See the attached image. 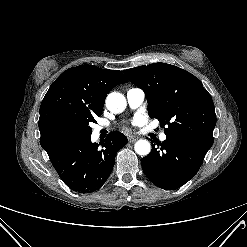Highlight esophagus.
Returning <instances> with one entry per match:
<instances>
[{
    "instance_id": "obj_1",
    "label": "esophagus",
    "mask_w": 247,
    "mask_h": 247,
    "mask_svg": "<svg viewBox=\"0 0 247 247\" xmlns=\"http://www.w3.org/2000/svg\"><path fill=\"white\" fill-rule=\"evenodd\" d=\"M138 138H139V137H137V136L131 135V136L128 137V141H129L130 143H133V142L137 141Z\"/></svg>"
}]
</instances>
